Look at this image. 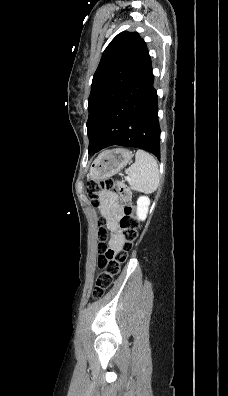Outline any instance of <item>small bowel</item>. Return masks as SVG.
I'll return each instance as SVG.
<instances>
[{"mask_svg":"<svg viewBox=\"0 0 228 396\" xmlns=\"http://www.w3.org/2000/svg\"><path fill=\"white\" fill-rule=\"evenodd\" d=\"M100 208L106 220V227L110 231L108 245L112 248H118L122 236L118 223L120 207L116 195L110 192L103 193L100 196Z\"/></svg>","mask_w":228,"mask_h":396,"instance_id":"small-bowel-1","label":"small bowel"}]
</instances>
